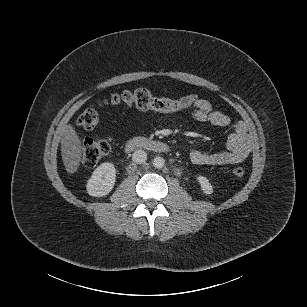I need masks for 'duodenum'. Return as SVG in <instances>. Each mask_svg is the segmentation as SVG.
<instances>
[{
	"label": "duodenum",
	"mask_w": 307,
	"mask_h": 307,
	"mask_svg": "<svg viewBox=\"0 0 307 307\" xmlns=\"http://www.w3.org/2000/svg\"><path fill=\"white\" fill-rule=\"evenodd\" d=\"M125 149L127 151H132L135 149H146L155 153H167L170 150L166 143L143 137H135L130 139L126 143Z\"/></svg>",
	"instance_id": "410a0bca"
}]
</instances>
